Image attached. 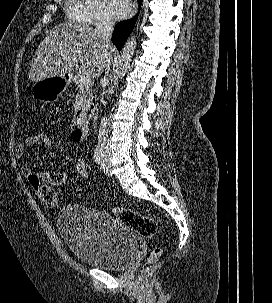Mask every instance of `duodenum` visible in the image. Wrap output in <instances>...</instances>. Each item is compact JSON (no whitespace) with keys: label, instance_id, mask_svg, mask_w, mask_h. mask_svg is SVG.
Instances as JSON below:
<instances>
[{"label":"duodenum","instance_id":"1","mask_svg":"<svg viewBox=\"0 0 272 303\" xmlns=\"http://www.w3.org/2000/svg\"><path fill=\"white\" fill-rule=\"evenodd\" d=\"M67 79L68 81H73V76L69 75ZM95 110V102H93L87 110L82 109L78 103L74 104V134L78 141H82L85 138L88 129V121L92 118Z\"/></svg>","mask_w":272,"mask_h":303}]
</instances>
